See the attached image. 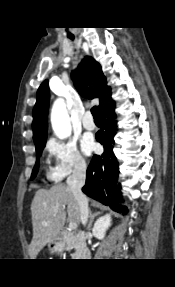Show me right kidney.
I'll return each mask as SVG.
<instances>
[{
  "label": "right kidney",
  "mask_w": 175,
  "mask_h": 287,
  "mask_svg": "<svg viewBox=\"0 0 175 287\" xmlns=\"http://www.w3.org/2000/svg\"><path fill=\"white\" fill-rule=\"evenodd\" d=\"M111 225V216L106 214L97 219L92 229L93 235L98 239H103L106 233V230Z\"/></svg>",
  "instance_id": "obj_1"
}]
</instances>
